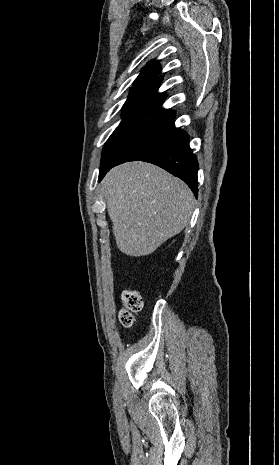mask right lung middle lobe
<instances>
[{
	"label": "right lung middle lobe",
	"mask_w": 279,
	"mask_h": 465,
	"mask_svg": "<svg viewBox=\"0 0 279 465\" xmlns=\"http://www.w3.org/2000/svg\"><path fill=\"white\" fill-rule=\"evenodd\" d=\"M180 132L174 126L143 123L119 125L104 146L101 168L126 161L144 160L173 145Z\"/></svg>",
	"instance_id": "right-lung-middle-lobe-1"
}]
</instances>
